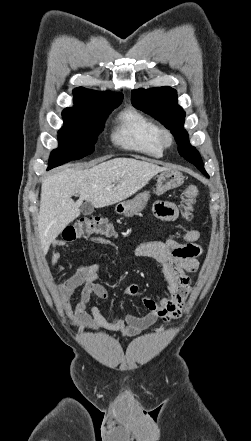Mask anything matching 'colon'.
Here are the masks:
<instances>
[{
    "label": "colon",
    "mask_w": 251,
    "mask_h": 441,
    "mask_svg": "<svg viewBox=\"0 0 251 441\" xmlns=\"http://www.w3.org/2000/svg\"><path fill=\"white\" fill-rule=\"evenodd\" d=\"M199 190L195 184L188 185L180 196L179 211L184 220L192 218L194 205L198 197ZM116 236L114 226L105 218L85 217L77 220L65 228L63 240L72 242L89 237H99L109 239Z\"/></svg>",
    "instance_id": "obj_1"
}]
</instances>
